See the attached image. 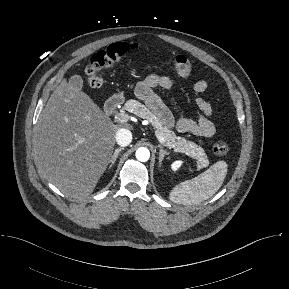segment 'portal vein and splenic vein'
<instances>
[{"label":"portal vein and splenic vein","instance_id":"portal-vein-and-splenic-vein-1","mask_svg":"<svg viewBox=\"0 0 289 289\" xmlns=\"http://www.w3.org/2000/svg\"><path fill=\"white\" fill-rule=\"evenodd\" d=\"M115 119H116L118 122H120V123H126V122H128V120H129V116H128L127 114H125V113H118V114L115 116ZM155 133H156V136H157L158 141H159L161 144H165V139H164V137L161 135V133H160L158 130H156Z\"/></svg>","mask_w":289,"mask_h":289}]
</instances>
